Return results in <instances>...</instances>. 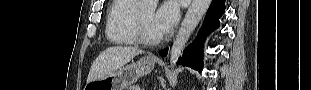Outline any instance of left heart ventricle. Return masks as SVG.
Returning <instances> with one entry per match:
<instances>
[{
    "mask_svg": "<svg viewBox=\"0 0 311 90\" xmlns=\"http://www.w3.org/2000/svg\"><path fill=\"white\" fill-rule=\"evenodd\" d=\"M153 16H154V11L153 10L147 11V12H144V13L140 14V18H141L143 26H144V28L146 30V33L150 37L156 38V37H159L161 35L152 26Z\"/></svg>",
    "mask_w": 311,
    "mask_h": 90,
    "instance_id": "obj_1",
    "label": "left heart ventricle"
}]
</instances>
